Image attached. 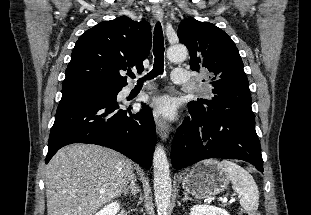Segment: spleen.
Here are the masks:
<instances>
[{
  "label": "spleen",
  "instance_id": "spleen-1",
  "mask_svg": "<svg viewBox=\"0 0 311 215\" xmlns=\"http://www.w3.org/2000/svg\"><path fill=\"white\" fill-rule=\"evenodd\" d=\"M220 166L227 173L233 190L241 195L240 205L246 211H256L259 205V190L252 175L230 160H222Z\"/></svg>",
  "mask_w": 311,
  "mask_h": 215
}]
</instances>
